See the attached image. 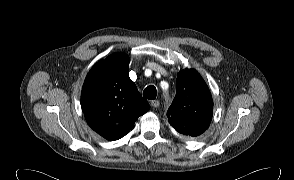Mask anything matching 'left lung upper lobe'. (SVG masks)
Wrapping results in <instances>:
<instances>
[{
  "label": "left lung upper lobe",
  "mask_w": 294,
  "mask_h": 180,
  "mask_svg": "<svg viewBox=\"0 0 294 180\" xmlns=\"http://www.w3.org/2000/svg\"><path fill=\"white\" fill-rule=\"evenodd\" d=\"M176 96L167 111L172 127L187 136H198L210 125L213 102L202 77L194 69L178 73Z\"/></svg>",
  "instance_id": "left-lung-upper-lobe-1"
}]
</instances>
